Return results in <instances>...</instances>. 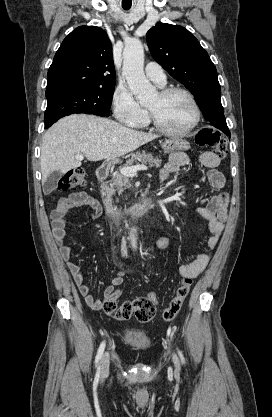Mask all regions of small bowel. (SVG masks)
I'll return each instance as SVG.
<instances>
[{"mask_svg":"<svg viewBox=\"0 0 272 417\" xmlns=\"http://www.w3.org/2000/svg\"><path fill=\"white\" fill-rule=\"evenodd\" d=\"M198 161L201 165L207 167L206 177L209 186L215 192L208 203L204 206L196 208V212L208 221V228L210 236L206 241L209 253H201L196 255L191 261L183 264L179 268V273L184 278H196L207 267L211 252L217 247L220 237L224 231V225L227 220V203L228 196L226 193L220 192L225 185L224 175L217 169L221 163V159L213 152H204L198 156ZM190 162L189 156L184 152H177L171 155L168 162L160 171L161 181H166L172 174L176 173L182 166L188 165ZM88 206L95 217H98L102 208L98 199L90 196L85 191H77L68 194L61 198L52 212L54 225V238L59 245V254L61 259L66 263V266L78 287L80 294L84 297L87 305L99 311L103 308V300L94 297L90 292V286L84 282V273L79 264L70 261L72 254V247L64 244L66 237L65 224L66 215L69 210L76 207ZM124 269L120 268L116 276L111 280L110 284L104 290V298H108L123 282Z\"/></svg>","mask_w":272,"mask_h":417,"instance_id":"1","label":"small bowel"}]
</instances>
